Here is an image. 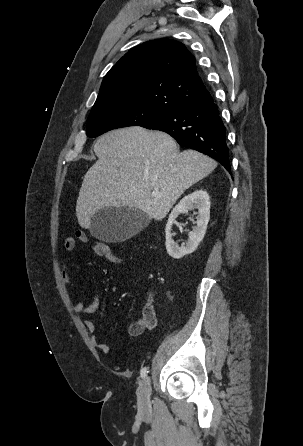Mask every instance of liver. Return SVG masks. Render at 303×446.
<instances>
[{
	"mask_svg": "<svg viewBox=\"0 0 303 446\" xmlns=\"http://www.w3.org/2000/svg\"><path fill=\"white\" fill-rule=\"evenodd\" d=\"M94 152L98 160L85 174L76 203L78 223L86 229L98 210L109 207L135 208L162 220L186 189L217 166L197 151L179 153L166 133L139 126L102 135Z\"/></svg>",
	"mask_w": 303,
	"mask_h": 446,
	"instance_id": "1",
	"label": "liver"
}]
</instances>
